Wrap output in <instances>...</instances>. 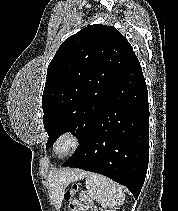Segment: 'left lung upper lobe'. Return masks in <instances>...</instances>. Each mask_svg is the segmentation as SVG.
I'll return each mask as SVG.
<instances>
[{"instance_id":"1","label":"left lung upper lobe","mask_w":178,"mask_h":211,"mask_svg":"<svg viewBox=\"0 0 178 211\" xmlns=\"http://www.w3.org/2000/svg\"><path fill=\"white\" fill-rule=\"evenodd\" d=\"M134 55L113 26H87L61 44L48 66L42 96L47 148L68 131L76 132L80 143L86 138Z\"/></svg>"}]
</instances>
